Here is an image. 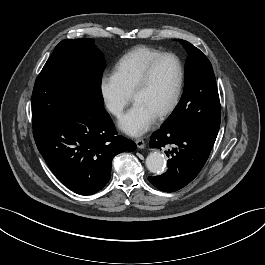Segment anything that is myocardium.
<instances>
[{
	"label": "myocardium",
	"instance_id": "f54148a6",
	"mask_svg": "<svg viewBox=\"0 0 265 265\" xmlns=\"http://www.w3.org/2000/svg\"><path fill=\"white\" fill-rule=\"evenodd\" d=\"M165 58H172L176 62L178 68V81L172 101L163 111H161L156 116V119L158 120H162L167 116H169L177 108L182 96L183 86H184V68L178 56H176L173 53H161L158 56H156L154 59H152L142 71L131 92V100L133 101L134 97L140 92H142L148 85L152 72L156 67V65Z\"/></svg>",
	"mask_w": 265,
	"mask_h": 265
}]
</instances>
